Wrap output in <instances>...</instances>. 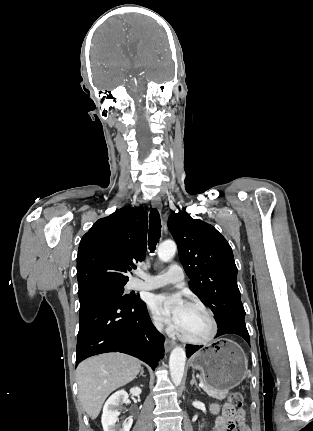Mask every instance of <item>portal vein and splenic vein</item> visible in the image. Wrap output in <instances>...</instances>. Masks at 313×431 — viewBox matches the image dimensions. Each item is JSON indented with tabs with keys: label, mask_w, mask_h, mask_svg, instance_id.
Here are the masks:
<instances>
[{
	"label": "portal vein and splenic vein",
	"mask_w": 313,
	"mask_h": 431,
	"mask_svg": "<svg viewBox=\"0 0 313 431\" xmlns=\"http://www.w3.org/2000/svg\"><path fill=\"white\" fill-rule=\"evenodd\" d=\"M204 386H205V385H204V383H202V382L199 384V387H201V388H203Z\"/></svg>",
	"instance_id": "portal-vein-and-splenic-vein-1"
}]
</instances>
